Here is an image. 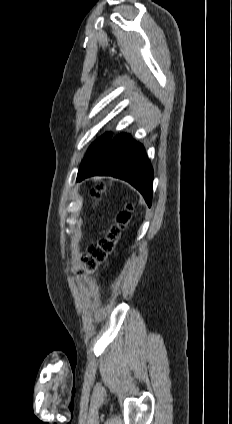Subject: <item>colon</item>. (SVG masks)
<instances>
[{
    "label": "colon",
    "mask_w": 232,
    "mask_h": 424,
    "mask_svg": "<svg viewBox=\"0 0 232 424\" xmlns=\"http://www.w3.org/2000/svg\"><path fill=\"white\" fill-rule=\"evenodd\" d=\"M104 191V185L98 184L91 189V196L99 200ZM133 205H128L126 209L120 211L116 217L117 227L107 238L100 240L97 244L91 246L88 252L82 257V263L86 270H93L99 264L106 262L108 253L113 249L114 244L119 239V230L124 228L131 219V210ZM79 275L84 274V270L78 271Z\"/></svg>",
    "instance_id": "colon-1"
}]
</instances>
